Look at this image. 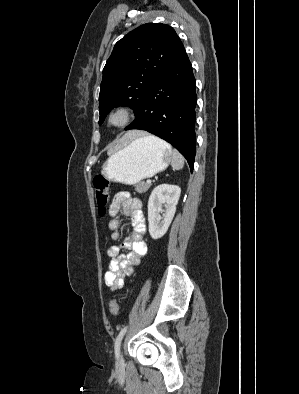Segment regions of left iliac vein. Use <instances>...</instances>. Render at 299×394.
<instances>
[{
  "instance_id": "obj_1",
  "label": "left iliac vein",
  "mask_w": 299,
  "mask_h": 394,
  "mask_svg": "<svg viewBox=\"0 0 299 394\" xmlns=\"http://www.w3.org/2000/svg\"><path fill=\"white\" fill-rule=\"evenodd\" d=\"M123 362H124V360H123V356H122V354H121V353H119V355H118V357H117V366H120V365H122V364H123Z\"/></svg>"
}]
</instances>
